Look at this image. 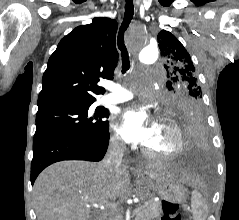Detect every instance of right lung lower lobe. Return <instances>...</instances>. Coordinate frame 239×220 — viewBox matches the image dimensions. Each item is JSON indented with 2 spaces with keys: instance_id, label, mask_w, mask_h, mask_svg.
Masks as SVG:
<instances>
[{
  "instance_id": "obj_1",
  "label": "right lung lower lobe",
  "mask_w": 239,
  "mask_h": 220,
  "mask_svg": "<svg viewBox=\"0 0 239 220\" xmlns=\"http://www.w3.org/2000/svg\"><path fill=\"white\" fill-rule=\"evenodd\" d=\"M109 133L98 140L70 136H49L33 140L31 183L48 165L61 160L100 161L108 147Z\"/></svg>"
}]
</instances>
